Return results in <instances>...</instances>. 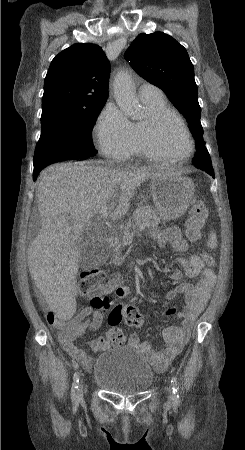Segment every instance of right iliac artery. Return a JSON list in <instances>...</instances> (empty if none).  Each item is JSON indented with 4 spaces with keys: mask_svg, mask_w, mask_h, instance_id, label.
Wrapping results in <instances>:
<instances>
[{
    "mask_svg": "<svg viewBox=\"0 0 245 450\" xmlns=\"http://www.w3.org/2000/svg\"><path fill=\"white\" fill-rule=\"evenodd\" d=\"M79 372H75L73 376V385L71 389V398L75 405L78 403V396L76 390H78V383H79Z\"/></svg>",
    "mask_w": 245,
    "mask_h": 450,
    "instance_id": "1",
    "label": "right iliac artery"
}]
</instances>
